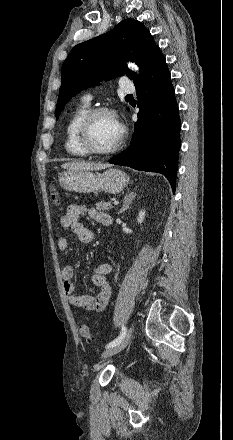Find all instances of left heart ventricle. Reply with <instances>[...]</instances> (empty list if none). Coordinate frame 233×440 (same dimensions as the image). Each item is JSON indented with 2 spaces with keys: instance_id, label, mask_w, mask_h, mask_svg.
<instances>
[{
  "instance_id": "left-heart-ventricle-1",
  "label": "left heart ventricle",
  "mask_w": 233,
  "mask_h": 440,
  "mask_svg": "<svg viewBox=\"0 0 233 440\" xmlns=\"http://www.w3.org/2000/svg\"><path fill=\"white\" fill-rule=\"evenodd\" d=\"M120 136V127L110 115L97 116L89 129V141L97 149L106 150L116 144Z\"/></svg>"
}]
</instances>
